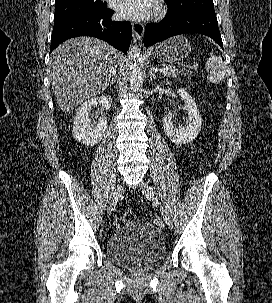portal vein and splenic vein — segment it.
<instances>
[{"label":"portal vein and splenic vein","instance_id":"1","mask_svg":"<svg viewBox=\"0 0 272 303\" xmlns=\"http://www.w3.org/2000/svg\"><path fill=\"white\" fill-rule=\"evenodd\" d=\"M167 70H168L167 68H161L159 71H160L161 73H165Z\"/></svg>","mask_w":272,"mask_h":303}]
</instances>
